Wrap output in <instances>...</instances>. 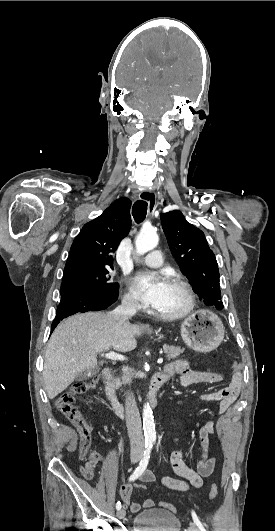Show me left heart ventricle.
<instances>
[{"mask_svg": "<svg viewBox=\"0 0 275 531\" xmlns=\"http://www.w3.org/2000/svg\"><path fill=\"white\" fill-rule=\"evenodd\" d=\"M186 304V297L183 290L169 281L160 303L154 307L160 313H176L181 311Z\"/></svg>", "mask_w": 275, "mask_h": 531, "instance_id": "left-heart-ventricle-1", "label": "left heart ventricle"}]
</instances>
